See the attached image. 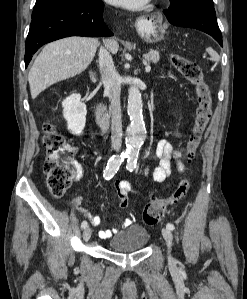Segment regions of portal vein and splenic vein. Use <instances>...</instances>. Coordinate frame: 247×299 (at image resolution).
<instances>
[{
    "label": "portal vein and splenic vein",
    "instance_id": "portal-vein-and-splenic-vein-1",
    "mask_svg": "<svg viewBox=\"0 0 247 299\" xmlns=\"http://www.w3.org/2000/svg\"><path fill=\"white\" fill-rule=\"evenodd\" d=\"M150 70H151V67H150L149 64H147L146 67H145V71H146V72H150Z\"/></svg>",
    "mask_w": 247,
    "mask_h": 299
}]
</instances>
